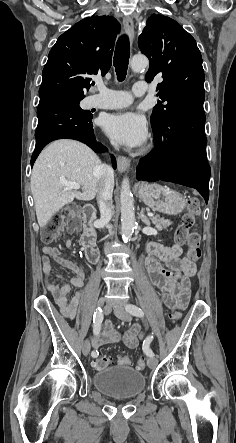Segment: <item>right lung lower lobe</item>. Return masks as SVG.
Returning a JSON list of instances; mask_svg holds the SVG:
<instances>
[{"mask_svg":"<svg viewBox=\"0 0 236 443\" xmlns=\"http://www.w3.org/2000/svg\"><path fill=\"white\" fill-rule=\"evenodd\" d=\"M37 116L38 126L35 132L36 146L31 158L32 166L41 150L57 139H75L85 143L95 152L107 151V148L95 139L91 124L92 114L81 112L72 101L56 94L41 96ZM112 163L115 169L114 156Z\"/></svg>","mask_w":236,"mask_h":443,"instance_id":"obj_1","label":"right lung lower lobe"}]
</instances>
